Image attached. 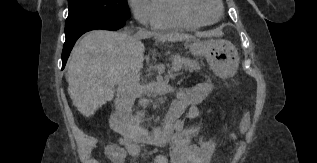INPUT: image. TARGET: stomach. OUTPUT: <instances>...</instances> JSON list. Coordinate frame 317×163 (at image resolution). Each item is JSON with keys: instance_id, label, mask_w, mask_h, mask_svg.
<instances>
[{"instance_id": "obj_1", "label": "stomach", "mask_w": 317, "mask_h": 163, "mask_svg": "<svg viewBox=\"0 0 317 163\" xmlns=\"http://www.w3.org/2000/svg\"><path fill=\"white\" fill-rule=\"evenodd\" d=\"M185 47L196 57H205L212 70L229 77L238 69L239 55L234 45L225 40L187 41Z\"/></svg>"}]
</instances>
